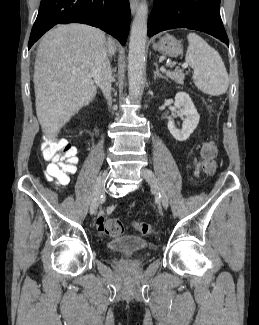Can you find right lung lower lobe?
Instances as JSON below:
<instances>
[{
	"label": "right lung lower lobe",
	"mask_w": 259,
	"mask_h": 325,
	"mask_svg": "<svg viewBox=\"0 0 259 325\" xmlns=\"http://www.w3.org/2000/svg\"><path fill=\"white\" fill-rule=\"evenodd\" d=\"M67 23L98 27L124 45L130 27L129 0H41L28 48L54 25Z\"/></svg>",
	"instance_id": "1"
}]
</instances>
